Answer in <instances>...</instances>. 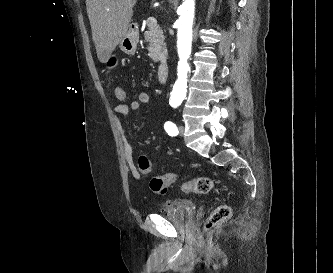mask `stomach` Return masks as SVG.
Listing matches in <instances>:
<instances>
[{
  "mask_svg": "<svg viewBox=\"0 0 333 273\" xmlns=\"http://www.w3.org/2000/svg\"><path fill=\"white\" fill-rule=\"evenodd\" d=\"M138 41L139 37L137 30L130 27L126 35L120 41L119 47L124 53L133 55L137 49Z\"/></svg>",
  "mask_w": 333,
  "mask_h": 273,
  "instance_id": "0dacf381",
  "label": "stomach"
}]
</instances>
